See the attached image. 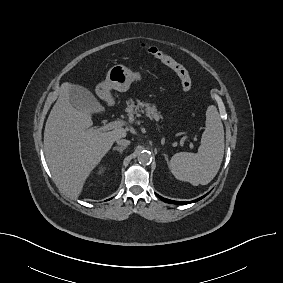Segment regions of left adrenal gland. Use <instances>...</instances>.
Listing matches in <instances>:
<instances>
[{"instance_id":"a2214340","label":"left adrenal gland","mask_w":283,"mask_h":283,"mask_svg":"<svg viewBox=\"0 0 283 283\" xmlns=\"http://www.w3.org/2000/svg\"><path fill=\"white\" fill-rule=\"evenodd\" d=\"M165 157V160L167 161V164L169 165V161H168V156L166 154H163Z\"/></svg>"}]
</instances>
